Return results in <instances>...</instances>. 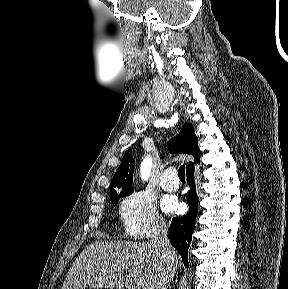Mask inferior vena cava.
<instances>
[{"mask_svg": "<svg viewBox=\"0 0 288 289\" xmlns=\"http://www.w3.org/2000/svg\"><path fill=\"white\" fill-rule=\"evenodd\" d=\"M167 231V226L162 225L155 244L156 250L160 255V259L164 264L162 275L166 285L163 288H167L169 286V282L173 280L176 271V264L173 257L174 249L167 238Z\"/></svg>", "mask_w": 288, "mask_h": 289, "instance_id": "1", "label": "inferior vena cava"}]
</instances>
